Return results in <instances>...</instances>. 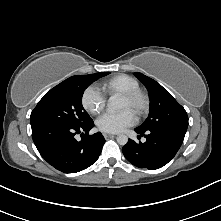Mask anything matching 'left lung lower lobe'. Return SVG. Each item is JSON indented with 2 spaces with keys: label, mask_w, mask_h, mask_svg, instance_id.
I'll return each instance as SVG.
<instances>
[{
  "label": "left lung lower lobe",
  "mask_w": 221,
  "mask_h": 221,
  "mask_svg": "<svg viewBox=\"0 0 221 221\" xmlns=\"http://www.w3.org/2000/svg\"><path fill=\"white\" fill-rule=\"evenodd\" d=\"M137 133L146 138L144 143H136L129 139L122 148L125 158L139 168L155 170L163 167L176 155L183 143L186 129L164 127ZM140 137V136H138Z\"/></svg>",
  "instance_id": "obj_1"
}]
</instances>
